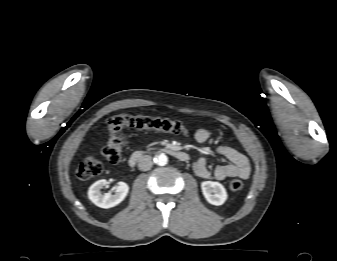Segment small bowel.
<instances>
[{
	"label": "small bowel",
	"mask_w": 337,
	"mask_h": 261,
	"mask_svg": "<svg viewBox=\"0 0 337 261\" xmlns=\"http://www.w3.org/2000/svg\"><path fill=\"white\" fill-rule=\"evenodd\" d=\"M210 132L206 128H200L195 133V139L198 143H204L208 140ZM213 152L229 161L228 164H222L215 167L211 172L207 166V159L201 157L193 163L195 174L202 178L210 177L222 181L226 178L247 179L251 173V166L248 158L238 150L230 146H218Z\"/></svg>",
	"instance_id": "1"
}]
</instances>
